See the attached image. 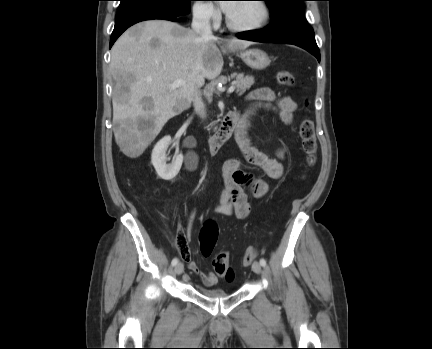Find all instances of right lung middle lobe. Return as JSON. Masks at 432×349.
<instances>
[{"instance_id":"dd1d6c3e","label":"right lung middle lobe","mask_w":432,"mask_h":349,"mask_svg":"<svg viewBox=\"0 0 432 349\" xmlns=\"http://www.w3.org/2000/svg\"><path fill=\"white\" fill-rule=\"evenodd\" d=\"M190 1L192 0H120L119 11L139 5L152 4L164 6L177 12H186L190 10Z\"/></svg>"}]
</instances>
